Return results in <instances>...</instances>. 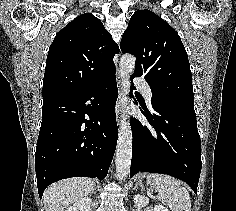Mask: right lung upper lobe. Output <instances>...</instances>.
Returning <instances> with one entry per match:
<instances>
[{
    "instance_id": "cb5924a9",
    "label": "right lung upper lobe",
    "mask_w": 236,
    "mask_h": 211,
    "mask_svg": "<svg viewBox=\"0 0 236 211\" xmlns=\"http://www.w3.org/2000/svg\"><path fill=\"white\" fill-rule=\"evenodd\" d=\"M118 45L92 14H83L60 30L51 44L44 74L43 100L80 93L115 73Z\"/></svg>"
}]
</instances>
